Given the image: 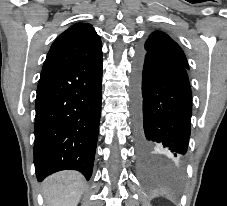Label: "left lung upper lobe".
I'll list each match as a JSON object with an SVG mask.
<instances>
[{
  "instance_id": "1",
  "label": "left lung upper lobe",
  "mask_w": 227,
  "mask_h": 206,
  "mask_svg": "<svg viewBox=\"0 0 227 206\" xmlns=\"http://www.w3.org/2000/svg\"><path fill=\"white\" fill-rule=\"evenodd\" d=\"M145 55L156 56L189 68L187 59L179 45L164 32H153L144 47L141 49Z\"/></svg>"
}]
</instances>
